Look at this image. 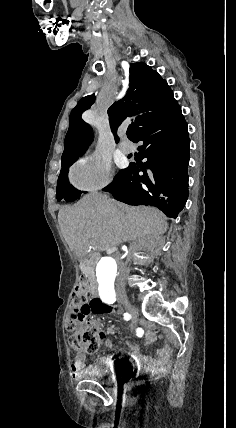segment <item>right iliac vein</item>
Instances as JSON below:
<instances>
[{
	"instance_id": "63e3f726",
	"label": "right iliac vein",
	"mask_w": 236,
	"mask_h": 428,
	"mask_svg": "<svg viewBox=\"0 0 236 428\" xmlns=\"http://www.w3.org/2000/svg\"><path fill=\"white\" fill-rule=\"evenodd\" d=\"M117 299H119L121 301V305L123 306V308H125L126 312H128L130 314V316L132 317L131 318V325L128 327L131 330L133 327H136L137 316L135 315L134 312H131V309H130L131 303H130V301H128L127 297L124 294H119L117 296Z\"/></svg>"
}]
</instances>
